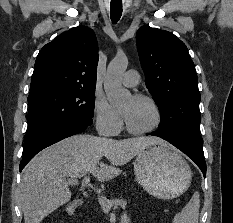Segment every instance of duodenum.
<instances>
[{
  "mask_svg": "<svg viewBox=\"0 0 233 223\" xmlns=\"http://www.w3.org/2000/svg\"><path fill=\"white\" fill-rule=\"evenodd\" d=\"M83 204V200L82 199H76L72 202H70L67 207H66V211L68 213L69 216H73L76 212V210ZM121 223H125L124 220H121Z\"/></svg>",
  "mask_w": 233,
  "mask_h": 223,
  "instance_id": "duodenum-1",
  "label": "duodenum"
}]
</instances>
